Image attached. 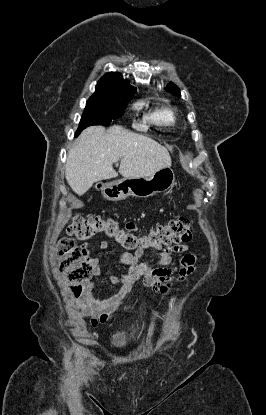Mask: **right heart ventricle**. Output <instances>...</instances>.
<instances>
[{
    "instance_id": "right-heart-ventricle-1",
    "label": "right heart ventricle",
    "mask_w": 266,
    "mask_h": 415,
    "mask_svg": "<svg viewBox=\"0 0 266 415\" xmlns=\"http://www.w3.org/2000/svg\"><path fill=\"white\" fill-rule=\"evenodd\" d=\"M147 119L157 125L169 126L175 122V113L169 107H159L150 112Z\"/></svg>"
}]
</instances>
